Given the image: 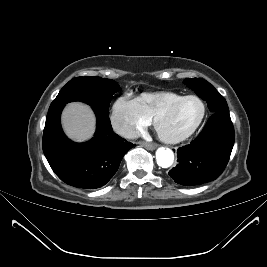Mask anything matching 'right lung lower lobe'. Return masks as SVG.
<instances>
[{"instance_id": "98d812e1", "label": "right lung lower lobe", "mask_w": 267, "mask_h": 267, "mask_svg": "<svg viewBox=\"0 0 267 267\" xmlns=\"http://www.w3.org/2000/svg\"><path fill=\"white\" fill-rule=\"evenodd\" d=\"M63 107L48 111L43 132V152L52 170L63 182L74 187L104 186L133 144L113 133L108 112L93 107L97 117L95 136L86 143L72 142L61 128Z\"/></svg>"}]
</instances>
